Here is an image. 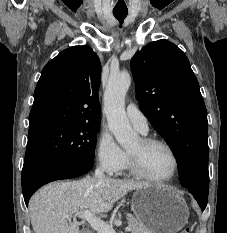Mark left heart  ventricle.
Segmentation results:
<instances>
[{"label":"left heart ventricle","instance_id":"obj_1","mask_svg":"<svg viewBox=\"0 0 227 233\" xmlns=\"http://www.w3.org/2000/svg\"><path fill=\"white\" fill-rule=\"evenodd\" d=\"M128 151L139 157L144 170L152 176L166 177L173 170V158L169 151L161 145L143 147L139 139Z\"/></svg>","mask_w":227,"mask_h":233}]
</instances>
